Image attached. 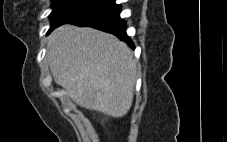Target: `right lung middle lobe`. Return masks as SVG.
<instances>
[{
	"instance_id": "obj_1",
	"label": "right lung middle lobe",
	"mask_w": 227,
	"mask_h": 142,
	"mask_svg": "<svg viewBox=\"0 0 227 142\" xmlns=\"http://www.w3.org/2000/svg\"><path fill=\"white\" fill-rule=\"evenodd\" d=\"M114 0H52L51 28L109 6Z\"/></svg>"
}]
</instances>
